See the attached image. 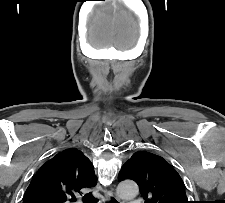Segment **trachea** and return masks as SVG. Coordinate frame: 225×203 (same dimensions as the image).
Masks as SVG:
<instances>
[{
  "label": "trachea",
  "instance_id": "trachea-1",
  "mask_svg": "<svg viewBox=\"0 0 225 203\" xmlns=\"http://www.w3.org/2000/svg\"><path fill=\"white\" fill-rule=\"evenodd\" d=\"M83 200L85 203H97L98 202V200L91 193L86 194L83 197ZM110 203H117V201L115 199H111Z\"/></svg>",
  "mask_w": 225,
  "mask_h": 203
}]
</instances>
